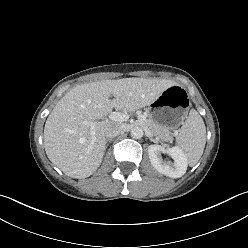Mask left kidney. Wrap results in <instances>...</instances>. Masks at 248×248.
Masks as SVG:
<instances>
[{"mask_svg": "<svg viewBox=\"0 0 248 248\" xmlns=\"http://www.w3.org/2000/svg\"><path fill=\"white\" fill-rule=\"evenodd\" d=\"M162 154H168L173 159V162L163 160ZM148 155L152 166L165 176L179 178L187 170V158L184 152L178 147L165 149L161 145H150L148 147Z\"/></svg>", "mask_w": 248, "mask_h": 248, "instance_id": "left-kidney-1", "label": "left kidney"}]
</instances>
